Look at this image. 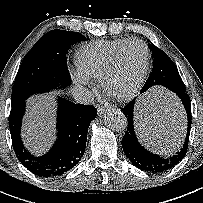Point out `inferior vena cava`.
Listing matches in <instances>:
<instances>
[{"instance_id": "inferior-vena-cava-1", "label": "inferior vena cava", "mask_w": 203, "mask_h": 203, "mask_svg": "<svg viewBox=\"0 0 203 203\" xmlns=\"http://www.w3.org/2000/svg\"><path fill=\"white\" fill-rule=\"evenodd\" d=\"M73 97L77 103L90 104L93 101V95L91 91L84 87H78L73 89Z\"/></svg>"}]
</instances>
